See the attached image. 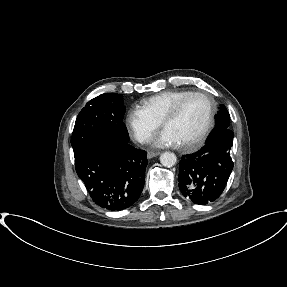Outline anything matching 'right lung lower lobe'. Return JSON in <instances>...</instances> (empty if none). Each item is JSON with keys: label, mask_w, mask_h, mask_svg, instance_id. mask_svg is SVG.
Wrapping results in <instances>:
<instances>
[{"label": "right lung lower lobe", "mask_w": 287, "mask_h": 287, "mask_svg": "<svg viewBox=\"0 0 287 287\" xmlns=\"http://www.w3.org/2000/svg\"><path fill=\"white\" fill-rule=\"evenodd\" d=\"M74 157L76 172L97 205L121 211L140 197L148 164L146 151L128 142L96 140Z\"/></svg>", "instance_id": "1"}]
</instances>
